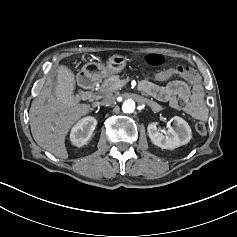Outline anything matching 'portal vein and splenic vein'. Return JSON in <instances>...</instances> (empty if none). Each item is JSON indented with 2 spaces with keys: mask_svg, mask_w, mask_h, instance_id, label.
<instances>
[{
  "mask_svg": "<svg viewBox=\"0 0 237 237\" xmlns=\"http://www.w3.org/2000/svg\"><path fill=\"white\" fill-rule=\"evenodd\" d=\"M125 83H126V81L122 80V83H121V85L123 86Z\"/></svg>",
  "mask_w": 237,
  "mask_h": 237,
  "instance_id": "portal-vein-and-splenic-vein-1",
  "label": "portal vein and splenic vein"
}]
</instances>
